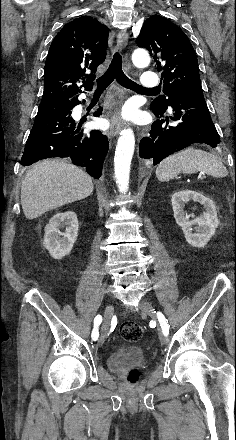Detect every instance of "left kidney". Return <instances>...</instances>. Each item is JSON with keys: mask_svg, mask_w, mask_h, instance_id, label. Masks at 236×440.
I'll list each match as a JSON object with an SVG mask.
<instances>
[{"mask_svg": "<svg viewBox=\"0 0 236 440\" xmlns=\"http://www.w3.org/2000/svg\"><path fill=\"white\" fill-rule=\"evenodd\" d=\"M190 200L202 204L205 208V212L193 220H190V215L184 211L185 204ZM171 202L175 221L182 227L186 241L194 247H204L219 225L214 202L203 194L191 190L174 193Z\"/></svg>", "mask_w": 236, "mask_h": 440, "instance_id": "left-kidney-1", "label": "left kidney"}]
</instances>
